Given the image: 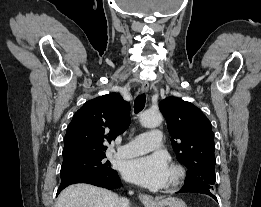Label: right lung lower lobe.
<instances>
[{
    "mask_svg": "<svg viewBox=\"0 0 261 207\" xmlns=\"http://www.w3.org/2000/svg\"><path fill=\"white\" fill-rule=\"evenodd\" d=\"M75 183H88L107 189H114L122 186L116 171L110 173H82L61 178V184L58 188L57 194L68 185Z\"/></svg>",
    "mask_w": 261,
    "mask_h": 207,
    "instance_id": "right-lung-lower-lobe-1",
    "label": "right lung lower lobe"
}]
</instances>
